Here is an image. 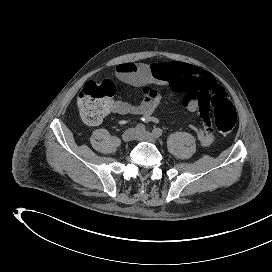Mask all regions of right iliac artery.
I'll return each mask as SVG.
<instances>
[{"mask_svg":"<svg viewBox=\"0 0 272 272\" xmlns=\"http://www.w3.org/2000/svg\"><path fill=\"white\" fill-rule=\"evenodd\" d=\"M137 132H145V126L143 124H138L135 127Z\"/></svg>","mask_w":272,"mask_h":272,"instance_id":"1","label":"right iliac artery"}]
</instances>
